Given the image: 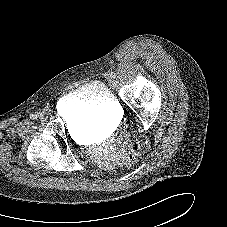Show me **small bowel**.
<instances>
[{
	"label": "small bowel",
	"instance_id": "obj_1",
	"mask_svg": "<svg viewBox=\"0 0 227 227\" xmlns=\"http://www.w3.org/2000/svg\"><path fill=\"white\" fill-rule=\"evenodd\" d=\"M106 161H111L113 158L117 157V152L113 151L112 154L110 156H106Z\"/></svg>",
	"mask_w": 227,
	"mask_h": 227
}]
</instances>
